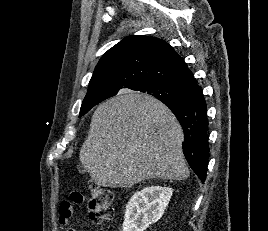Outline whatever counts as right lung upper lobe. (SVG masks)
<instances>
[{
  "mask_svg": "<svg viewBox=\"0 0 268 231\" xmlns=\"http://www.w3.org/2000/svg\"><path fill=\"white\" fill-rule=\"evenodd\" d=\"M159 81L187 90L198 87L183 59L164 40L128 36L109 49L97 64L83 103L97 104L142 81ZM169 102V101H166Z\"/></svg>",
  "mask_w": 268,
  "mask_h": 231,
  "instance_id": "right-lung-upper-lobe-1",
  "label": "right lung upper lobe"
}]
</instances>
